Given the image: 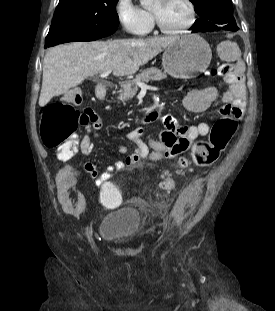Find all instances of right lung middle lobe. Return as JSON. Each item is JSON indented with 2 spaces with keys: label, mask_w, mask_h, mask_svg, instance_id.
I'll return each instance as SVG.
<instances>
[{
  "label": "right lung middle lobe",
  "mask_w": 275,
  "mask_h": 311,
  "mask_svg": "<svg viewBox=\"0 0 275 311\" xmlns=\"http://www.w3.org/2000/svg\"><path fill=\"white\" fill-rule=\"evenodd\" d=\"M118 0H60L45 47L91 41L113 34L118 27Z\"/></svg>",
  "instance_id": "right-lung-middle-lobe-1"
}]
</instances>
